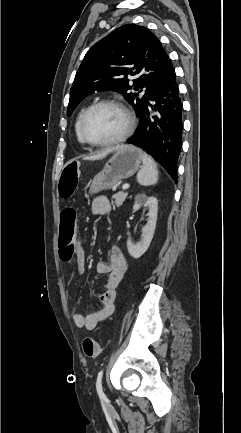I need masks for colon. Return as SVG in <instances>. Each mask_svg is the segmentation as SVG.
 Listing matches in <instances>:
<instances>
[{
  "label": "colon",
  "mask_w": 241,
  "mask_h": 433,
  "mask_svg": "<svg viewBox=\"0 0 241 433\" xmlns=\"http://www.w3.org/2000/svg\"><path fill=\"white\" fill-rule=\"evenodd\" d=\"M58 183L57 193L60 201H71L72 195L75 194L76 187L79 185V177L85 174L81 161L77 157H70L64 161ZM78 220L77 207H62L60 217L57 219L60 228L59 255L64 263H69L73 257L74 251L79 252L82 246L76 240L78 232L76 231ZM83 351L87 357L93 358L100 354V343L92 338L86 337L83 341Z\"/></svg>",
  "instance_id": "1"
}]
</instances>
